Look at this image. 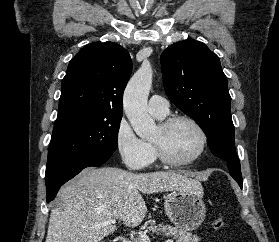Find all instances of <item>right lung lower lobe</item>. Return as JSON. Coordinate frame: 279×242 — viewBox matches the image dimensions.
Returning a JSON list of instances; mask_svg holds the SVG:
<instances>
[{
	"label": "right lung lower lobe",
	"instance_id": "98d812e1",
	"mask_svg": "<svg viewBox=\"0 0 279 242\" xmlns=\"http://www.w3.org/2000/svg\"><path fill=\"white\" fill-rule=\"evenodd\" d=\"M111 155L109 154H86L71 159L64 164L58 166L54 170L45 175L47 202L52 201L59 188L68 180L77 175L82 169L95 166L99 167L105 163Z\"/></svg>",
	"mask_w": 279,
	"mask_h": 242
}]
</instances>
